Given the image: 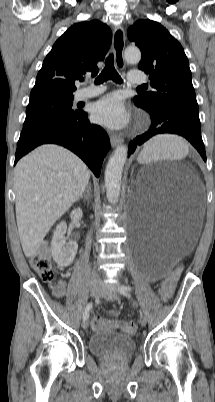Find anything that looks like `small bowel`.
Wrapping results in <instances>:
<instances>
[{"label": "small bowel", "mask_w": 215, "mask_h": 402, "mask_svg": "<svg viewBox=\"0 0 215 402\" xmlns=\"http://www.w3.org/2000/svg\"><path fill=\"white\" fill-rule=\"evenodd\" d=\"M62 290H63V285H62V284H60V285L58 286V288H57V291H58L59 293H61V292H62Z\"/></svg>", "instance_id": "obj_1"}]
</instances>
